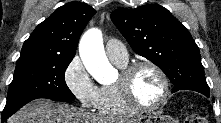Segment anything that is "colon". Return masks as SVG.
I'll return each mask as SVG.
<instances>
[{"label":"colon","mask_w":221,"mask_h":123,"mask_svg":"<svg viewBox=\"0 0 221 123\" xmlns=\"http://www.w3.org/2000/svg\"><path fill=\"white\" fill-rule=\"evenodd\" d=\"M184 123H205L206 120L204 117L197 113H189L184 118Z\"/></svg>","instance_id":"obj_1"}]
</instances>
